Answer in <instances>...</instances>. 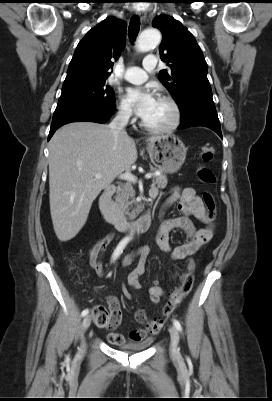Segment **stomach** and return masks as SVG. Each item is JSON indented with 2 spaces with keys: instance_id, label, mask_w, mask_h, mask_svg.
<instances>
[{
  "instance_id": "stomach-1",
  "label": "stomach",
  "mask_w": 272,
  "mask_h": 401,
  "mask_svg": "<svg viewBox=\"0 0 272 401\" xmlns=\"http://www.w3.org/2000/svg\"><path fill=\"white\" fill-rule=\"evenodd\" d=\"M150 159L154 165L166 173L180 169L186 158L187 149L175 135H161L147 146Z\"/></svg>"
}]
</instances>
